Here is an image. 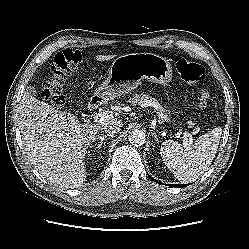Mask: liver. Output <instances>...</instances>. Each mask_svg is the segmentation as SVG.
Wrapping results in <instances>:
<instances>
[{"instance_id":"1","label":"liver","mask_w":249,"mask_h":249,"mask_svg":"<svg viewBox=\"0 0 249 249\" xmlns=\"http://www.w3.org/2000/svg\"><path fill=\"white\" fill-rule=\"evenodd\" d=\"M114 55H97L108 61ZM19 128L28 160L53 184L77 188L86 179L85 154L106 123L123 126L120 118L81 124L74 115L57 110L24 92L18 108Z\"/></svg>"}]
</instances>
